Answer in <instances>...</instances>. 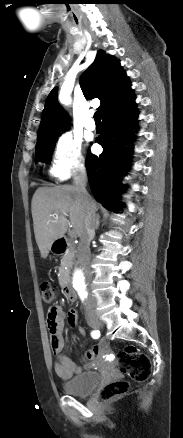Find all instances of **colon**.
<instances>
[{
  "mask_svg": "<svg viewBox=\"0 0 183 438\" xmlns=\"http://www.w3.org/2000/svg\"><path fill=\"white\" fill-rule=\"evenodd\" d=\"M42 300L51 304L55 300V287L49 282L41 284ZM116 366L122 373L127 374L135 381H145L151 373V362L146 354L141 353L134 346L127 345L119 352ZM129 383L125 380H115L102 388L100 395L103 400H112L125 394Z\"/></svg>",
  "mask_w": 183,
  "mask_h": 438,
  "instance_id": "obj_1",
  "label": "colon"
}]
</instances>
